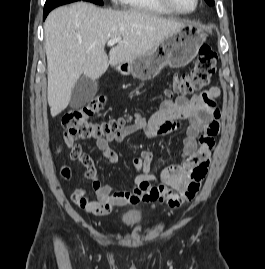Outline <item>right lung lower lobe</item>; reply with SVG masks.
<instances>
[{
    "label": "right lung lower lobe",
    "instance_id": "obj_1",
    "mask_svg": "<svg viewBox=\"0 0 265 269\" xmlns=\"http://www.w3.org/2000/svg\"><path fill=\"white\" fill-rule=\"evenodd\" d=\"M76 1H81V0H46V3L44 5L43 19L45 20L48 13L55 7L63 5V4H67V3L76 2Z\"/></svg>",
    "mask_w": 265,
    "mask_h": 269
}]
</instances>
